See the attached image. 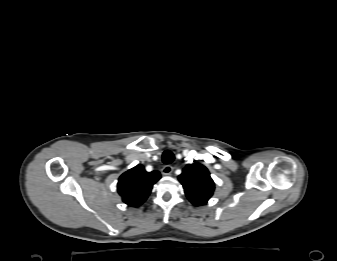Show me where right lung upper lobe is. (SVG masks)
<instances>
[{
  "label": "right lung upper lobe",
  "instance_id": "obj_1",
  "mask_svg": "<svg viewBox=\"0 0 337 261\" xmlns=\"http://www.w3.org/2000/svg\"><path fill=\"white\" fill-rule=\"evenodd\" d=\"M160 178L158 171L147 172L139 164L120 176L117 184L118 193L123 202L138 207L147 199L153 185Z\"/></svg>",
  "mask_w": 337,
  "mask_h": 261
}]
</instances>
